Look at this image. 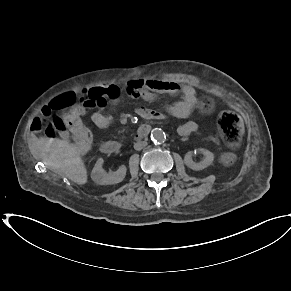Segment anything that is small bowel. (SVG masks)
Instances as JSON below:
<instances>
[{
	"label": "small bowel",
	"instance_id": "small-bowel-1",
	"mask_svg": "<svg viewBox=\"0 0 291 291\" xmlns=\"http://www.w3.org/2000/svg\"><path fill=\"white\" fill-rule=\"evenodd\" d=\"M162 93L182 95L181 100L168 107V112L176 118H188L194 111L198 102L195 90L189 85H181L175 81L161 79L132 77L128 81L125 91L120 85L115 83L96 85L85 89L80 108L82 111L86 107L93 108L94 111L91 114L92 122L99 128H106L112 121L111 116L103 112L108 103H117L124 95L131 98H141L146 102H152ZM137 115L154 121H166L168 119V114L166 112H158L157 110L146 108H139L137 110ZM33 128L34 130H40V128L34 126ZM197 128V123L189 120L179 127L178 132L182 136H187L196 132ZM61 136L67 139L69 133L64 132Z\"/></svg>",
	"mask_w": 291,
	"mask_h": 291
}]
</instances>
